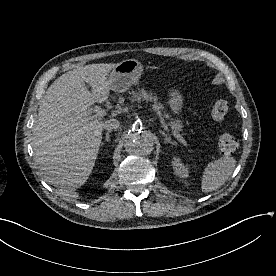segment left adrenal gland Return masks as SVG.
Listing matches in <instances>:
<instances>
[{"label": "left adrenal gland", "instance_id": "obj_1", "mask_svg": "<svg viewBox=\"0 0 276 276\" xmlns=\"http://www.w3.org/2000/svg\"><path fill=\"white\" fill-rule=\"evenodd\" d=\"M160 133L165 137V143L176 144L164 131L160 130Z\"/></svg>", "mask_w": 276, "mask_h": 276}]
</instances>
